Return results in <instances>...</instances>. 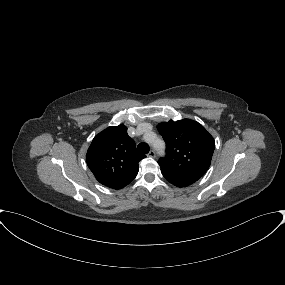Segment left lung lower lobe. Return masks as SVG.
<instances>
[{"label": "left lung lower lobe", "mask_w": 285, "mask_h": 285, "mask_svg": "<svg viewBox=\"0 0 285 285\" xmlns=\"http://www.w3.org/2000/svg\"><path fill=\"white\" fill-rule=\"evenodd\" d=\"M161 173L168 182H170L171 184L177 187L189 186L193 184L194 182H196L197 180H199L201 177V176L177 175V174H173V173H170L164 170H161Z\"/></svg>", "instance_id": "0a47b994"}]
</instances>
